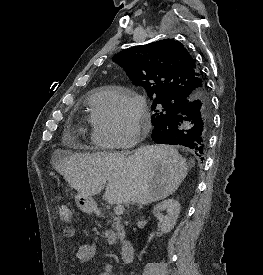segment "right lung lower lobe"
Here are the masks:
<instances>
[{
	"label": "right lung lower lobe",
	"instance_id": "98d812e1",
	"mask_svg": "<svg viewBox=\"0 0 263 275\" xmlns=\"http://www.w3.org/2000/svg\"><path fill=\"white\" fill-rule=\"evenodd\" d=\"M212 111L207 88L183 100L182 108L154 126L151 138L158 144L181 145L202 157L206 151ZM203 159V158H201Z\"/></svg>",
	"mask_w": 263,
	"mask_h": 275
}]
</instances>
